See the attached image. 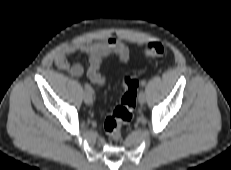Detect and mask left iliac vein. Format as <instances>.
I'll use <instances>...</instances> for the list:
<instances>
[{"instance_id": "4c4485c4", "label": "left iliac vein", "mask_w": 231, "mask_h": 170, "mask_svg": "<svg viewBox=\"0 0 231 170\" xmlns=\"http://www.w3.org/2000/svg\"><path fill=\"white\" fill-rule=\"evenodd\" d=\"M145 101H146V95H145V93L142 91V92H140V94H139V103H140V104H144Z\"/></svg>"}]
</instances>
